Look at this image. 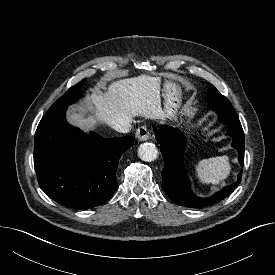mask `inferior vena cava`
Instances as JSON below:
<instances>
[{
  "label": "inferior vena cava",
  "mask_w": 275,
  "mask_h": 275,
  "mask_svg": "<svg viewBox=\"0 0 275 275\" xmlns=\"http://www.w3.org/2000/svg\"><path fill=\"white\" fill-rule=\"evenodd\" d=\"M132 125V120L126 119L118 122L112 126V128L120 133H128Z\"/></svg>",
  "instance_id": "obj_1"
}]
</instances>
